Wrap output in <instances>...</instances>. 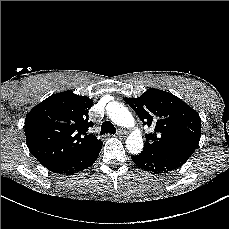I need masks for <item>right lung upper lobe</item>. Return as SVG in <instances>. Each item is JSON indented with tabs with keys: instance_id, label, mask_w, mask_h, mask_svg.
<instances>
[{
	"instance_id": "right-lung-upper-lobe-1",
	"label": "right lung upper lobe",
	"mask_w": 229,
	"mask_h": 229,
	"mask_svg": "<svg viewBox=\"0 0 229 229\" xmlns=\"http://www.w3.org/2000/svg\"><path fill=\"white\" fill-rule=\"evenodd\" d=\"M93 101L72 92L53 94L26 116L25 136L30 153L45 167L87 152L102 141L87 131Z\"/></svg>"
}]
</instances>
